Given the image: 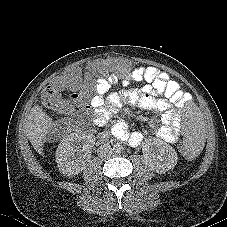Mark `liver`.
I'll list each match as a JSON object with an SVG mask.
<instances>
[{
    "mask_svg": "<svg viewBox=\"0 0 227 227\" xmlns=\"http://www.w3.org/2000/svg\"><path fill=\"white\" fill-rule=\"evenodd\" d=\"M53 126L52 119L42 111L39 105H35L29 112L26 122V134L33 148L39 153H43V143L45 135Z\"/></svg>",
    "mask_w": 227,
    "mask_h": 227,
    "instance_id": "liver-1",
    "label": "liver"
}]
</instances>
